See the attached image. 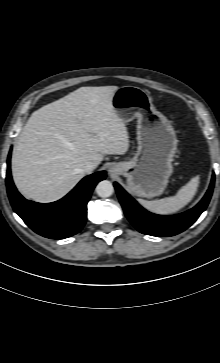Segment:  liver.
Segmentation results:
<instances>
[{
    "instance_id": "obj_1",
    "label": "liver",
    "mask_w": 220,
    "mask_h": 363,
    "mask_svg": "<svg viewBox=\"0 0 220 363\" xmlns=\"http://www.w3.org/2000/svg\"><path fill=\"white\" fill-rule=\"evenodd\" d=\"M117 86L80 87L33 112L12 153L14 183L28 199L49 203L70 192L103 154L128 151L129 136L116 114Z\"/></svg>"
}]
</instances>
